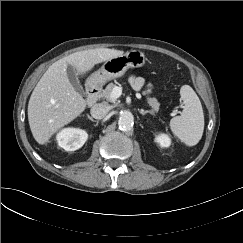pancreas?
I'll return each instance as SVG.
<instances>
[{
    "label": "pancreas",
    "mask_w": 243,
    "mask_h": 243,
    "mask_svg": "<svg viewBox=\"0 0 243 243\" xmlns=\"http://www.w3.org/2000/svg\"><path fill=\"white\" fill-rule=\"evenodd\" d=\"M114 87H116V84L109 83L106 86V88L101 92V97L108 100V101H112L111 100V92H112ZM146 101L151 106L152 111L158 112L160 104H159V102L156 98H151V97L147 96Z\"/></svg>",
    "instance_id": "cf45deb5"
}]
</instances>
